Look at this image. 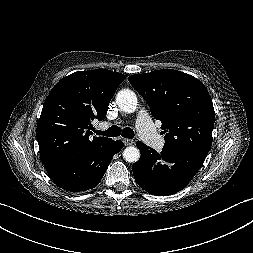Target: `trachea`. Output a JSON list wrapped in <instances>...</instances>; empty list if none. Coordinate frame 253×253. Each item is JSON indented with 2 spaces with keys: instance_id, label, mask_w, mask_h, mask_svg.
<instances>
[{
  "instance_id": "1",
  "label": "trachea",
  "mask_w": 253,
  "mask_h": 253,
  "mask_svg": "<svg viewBox=\"0 0 253 253\" xmlns=\"http://www.w3.org/2000/svg\"><path fill=\"white\" fill-rule=\"evenodd\" d=\"M97 135H103V136H108V137H116V136H120L122 135L124 138H133L134 137V131L129 128L126 127L124 129H121L118 126H111L110 128H108L105 131H101V130H93Z\"/></svg>"
}]
</instances>
